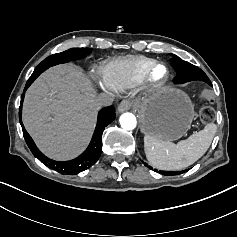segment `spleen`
<instances>
[{"instance_id":"3e777b00","label":"spleen","mask_w":237,"mask_h":237,"mask_svg":"<svg viewBox=\"0 0 237 237\" xmlns=\"http://www.w3.org/2000/svg\"><path fill=\"white\" fill-rule=\"evenodd\" d=\"M216 124L209 123L202 130L193 133L186 140L173 144L144 135V152L147 160L162 170H178L197 161L209 148Z\"/></svg>"}]
</instances>
